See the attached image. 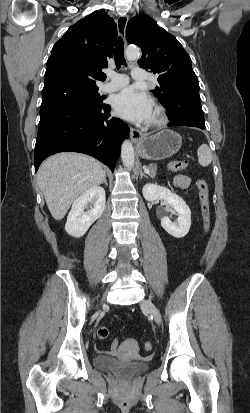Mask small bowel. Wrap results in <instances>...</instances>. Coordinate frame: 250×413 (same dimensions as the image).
Returning a JSON list of instances; mask_svg holds the SVG:
<instances>
[{"label":"small bowel","instance_id":"obj_1","mask_svg":"<svg viewBox=\"0 0 250 413\" xmlns=\"http://www.w3.org/2000/svg\"><path fill=\"white\" fill-rule=\"evenodd\" d=\"M191 184L192 180L185 175H177L174 179V185L179 189H187Z\"/></svg>","mask_w":250,"mask_h":413}]
</instances>
